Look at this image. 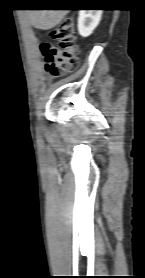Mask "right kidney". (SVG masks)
<instances>
[{
  "label": "right kidney",
  "mask_w": 145,
  "mask_h": 278,
  "mask_svg": "<svg viewBox=\"0 0 145 278\" xmlns=\"http://www.w3.org/2000/svg\"><path fill=\"white\" fill-rule=\"evenodd\" d=\"M102 10H80L78 17V31L83 37H88L98 26Z\"/></svg>",
  "instance_id": "obj_1"
}]
</instances>
